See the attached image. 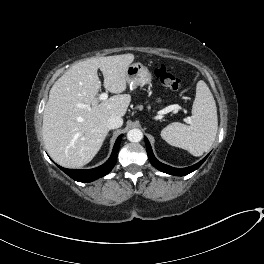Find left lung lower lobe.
Here are the masks:
<instances>
[{"label":"left lung lower lobe","mask_w":264,"mask_h":264,"mask_svg":"<svg viewBox=\"0 0 264 264\" xmlns=\"http://www.w3.org/2000/svg\"><path fill=\"white\" fill-rule=\"evenodd\" d=\"M145 144H146V149H147V154H148V158L151 162V164L157 168L158 170L162 171V172H165V173H168V174H171V175H176V176H185L193 171H195L196 169H198L202 163L206 160V158L208 157V155L202 159L200 162L196 163L195 165L193 166H190V167H187V168H174V167H171V166H168L166 164H163L161 162H159L153 152H152V148H151V145L148 141V139L145 137Z\"/></svg>","instance_id":"obj_1"}]
</instances>
